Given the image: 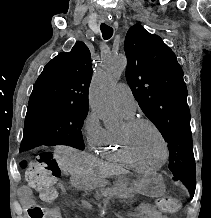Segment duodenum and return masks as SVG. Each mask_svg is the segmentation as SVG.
Wrapping results in <instances>:
<instances>
[{"label": "duodenum", "mask_w": 211, "mask_h": 218, "mask_svg": "<svg viewBox=\"0 0 211 218\" xmlns=\"http://www.w3.org/2000/svg\"><path fill=\"white\" fill-rule=\"evenodd\" d=\"M128 215H130V216H133V215H134V213H128Z\"/></svg>", "instance_id": "1"}]
</instances>
